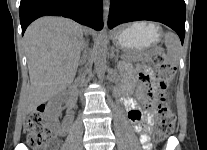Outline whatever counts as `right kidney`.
I'll use <instances>...</instances> for the list:
<instances>
[{
	"label": "right kidney",
	"mask_w": 207,
	"mask_h": 150,
	"mask_svg": "<svg viewBox=\"0 0 207 150\" xmlns=\"http://www.w3.org/2000/svg\"><path fill=\"white\" fill-rule=\"evenodd\" d=\"M67 94L65 92H60L56 96H54L46 106V119L50 128L54 132H58L59 124H58V113L61 109V105L66 102Z\"/></svg>",
	"instance_id": "obj_1"
}]
</instances>
